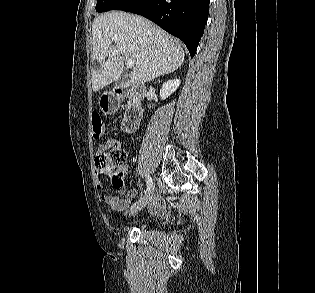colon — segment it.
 <instances>
[{"instance_id":"1","label":"colon","mask_w":315,"mask_h":293,"mask_svg":"<svg viewBox=\"0 0 315 293\" xmlns=\"http://www.w3.org/2000/svg\"><path fill=\"white\" fill-rule=\"evenodd\" d=\"M92 133L95 139L104 134V124L99 113H93L91 117ZM98 167L104 168L108 173L113 186L117 190L123 188L126 153L118 142L113 143L107 152L98 154L95 159Z\"/></svg>"}]
</instances>
